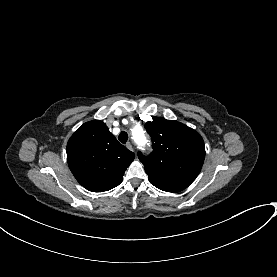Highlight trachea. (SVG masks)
<instances>
[{"label": "trachea", "mask_w": 277, "mask_h": 277, "mask_svg": "<svg viewBox=\"0 0 277 277\" xmlns=\"http://www.w3.org/2000/svg\"><path fill=\"white\" fill-rule=\"evenodd\" d=\"M118 139H119V141H120L121 143L125 144V143L127 142V140H128V134H127V132L122 131V132L119 134Z\"/></svg>", "instance_id": "1"}]
</instances>
